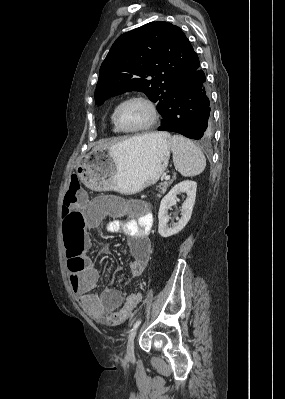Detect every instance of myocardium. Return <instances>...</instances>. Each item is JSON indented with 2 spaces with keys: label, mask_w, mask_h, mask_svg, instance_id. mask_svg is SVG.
<instances>
[{
  "label": "myocardium",
  "mask_w": 285,
  "mask_h": 399,
  "mask_svg": "<svg viewBox=\"0 0 285 399\" xmlns=\"http://www.w3.org/2000/svg\"><path fill=\"white\" fill-rule=\"evenodd\" d=\"M132 101H141V102L145 103L151 111V118L146 124L141 125L139 127L125 128V127H123V125L121 124L120 119H119L120 111L125 104L132 102ZM158 119H159V112H158L156 104L150 98L143 96V95H133V96H130V97L124 99L122 102H120L118 104V106L115 109V113H114V120H115V123H116L118 129L121 130L122 132H126V133H138V132L146 131V130L150 129L151 127H153L157 123Z\"/></svg>",
  "instance_id": "obj_1"
}]
</instances>
